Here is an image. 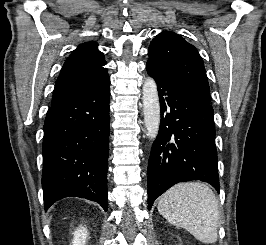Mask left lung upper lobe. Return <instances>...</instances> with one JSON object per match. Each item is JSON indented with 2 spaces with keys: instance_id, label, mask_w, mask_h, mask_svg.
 Masks as SVG:
<instances>
[{
  "instance_id": "obj_1",
  "label": "left lung upper lobe",
  "mask_w": 266,
  "mask_h": 245,
  "mask_svg": "<svg viewBox=\"0 0 266 245\" xmlns=\"http://www.w3.org/2000/svg\"><path fill=\"white\" fill-rule=\"evenodd\" d=\"M152 64L210 102V89L203 61L196 48L173 32H163L157 35L148 49Z\"/></svg>"
}]
</instances>
